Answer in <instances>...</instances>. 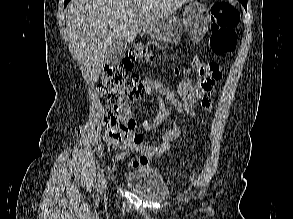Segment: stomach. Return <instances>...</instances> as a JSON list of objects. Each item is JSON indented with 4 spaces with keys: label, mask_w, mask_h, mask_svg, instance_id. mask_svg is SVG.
Masks as SVG:
<instances>
[{
    "label": "stomach",
    "mask_w": 293,
    "mask_h": 219,
    "mask_svg": "<svg viewBox=\"0 0 293 219\" xmlns=\"http://www.w3.org/2000/svg\"><path fill=\"white\" fill-rule=\"evenodd\" d=\"M210 15L205 5L192 2L184 8L183 25L179 19L167 17L146 28L147 34L156 41L178 43L183 28L189 39L201 41L209 27Z\"/></svg>",
    "instance_id": "stomach-1"
}]
</instances>
